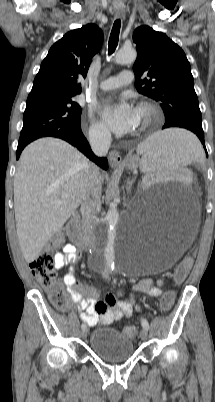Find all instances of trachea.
Wrapping results in <instances>:
<instances>
[{
    "instance_id": "trachea-1",
    "label": "trachea",
    "mask_w": 215,
    "mask_h": 402,
    "mask_svg": "<svg viewBox=\"0 0 215 402\" xmlns=\"http://www.w3.org/2000/svg\"><path fill=\"white\" fill-rule=\"evenodd\" d=\"M121 22L120 19L116 20L113 24L110 38H109V55L114 52L118 45L119 33H120Z\"/></svg>"
}]
</instances>
